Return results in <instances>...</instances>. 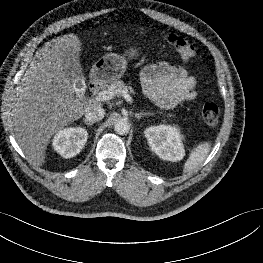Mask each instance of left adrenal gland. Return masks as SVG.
<instances>
[{"mask_svg":"<svg viewBox=\"0 0 263 263\" xmlns=\"http://www.w3.org/2000/svg\"><path fill=\"white\" fill-rule=\"evenodd\" d=\"M146 115H153V113H150V112H140V113H136V114H135V118L139 120L142 116H146Z\"/></svg>","mask_w":263,"mask_h":263,"instance_id":"a2214340","label":"left adrenal gland"}]
</instances>
